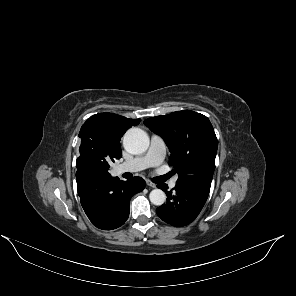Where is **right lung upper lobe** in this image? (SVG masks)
<instances>
[{
  "mask_svg": "<svg viewBox=\"0 0 296 296\" xmlns=\"http://www.w3.org/2000/svg\"><path fill=\"white\" fill-rule=\"evenodd\" d=\"M140 119H129L113 113H99L91 116L81 127V143H92L108 148L116 157L121 158L120 139L131 126Z\"/></svg>",
  "mask_w": 296,
  "mask_h": 296,
  "instance_id": "cb5924a9",
  "label": "right lung upper lobe"
}]
</instances>
